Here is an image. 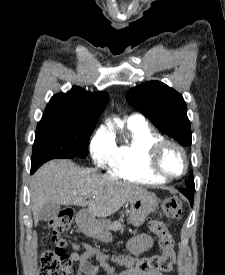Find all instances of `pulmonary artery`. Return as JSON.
I'll list each match as a JSON object with an SVG mask.
<instances>
[{"mask_svg": "<svg viewBox=\"0 0 225 275\" xmlns=\"http://www.w3.org/2000/svg\"><path fill=\"white\" fill-rule=\"evenodd\" d=\"M127 123L130 125L143 124L145 118L140 114H131L127 117Z\"/></svg>", "mask_w": 225, "mask_h": 275, "instance_id": "pulmonary-artery-1", "label": "pulmonary artery"}]
</instances>
